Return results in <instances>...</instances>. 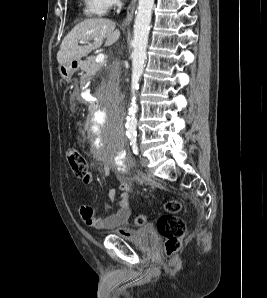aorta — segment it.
I'll return each instance as SVG.
<instances>
[{"instance_id":"762f6f07","label":"aorta","mask_w":267,"mask_h":298,"mask_svg":"<svg viewBox=\"0 0 267 298\" xmlns=\"http://www.w3.org/2000/svg\"><path fill=\"white\" fill-rule=\"evenodd\" d=\"M154 0H139L138 12L134 23L133 32V53H132V79L131 93L132 100L129 107V115L126 122V130L129 134H134L137 127L136 113L138 105L136 104L137 91L139 89V80L144 70L146 60V49L151 23L152 8Z\"/></svg>"}]
</instances>
